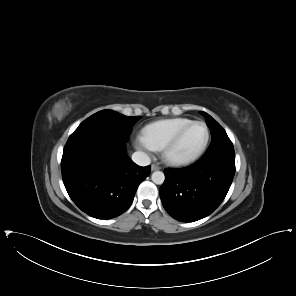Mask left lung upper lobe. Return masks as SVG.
Wrapping results in <instances>:
<instances>
[{
	"instance_id": "left-lung-upper-lobe-1",
	"label": "left lung upper lobe",
	"mask_w": 296,
	"mask_h": 296,
	"mask_svg": "<svg viewBox=\"0 0 296 296\" xmlns=\"http://www.w3.org/2000/svg\"><path fill=\"white\" fill-rule=\"evenodd\" d=\"M203 114L205 115L206 124L211 131V143L200 161L208 163L220 156H235L233 144L222 126L209 114L205 112Z\"/></svg>"
}]
</instances>
